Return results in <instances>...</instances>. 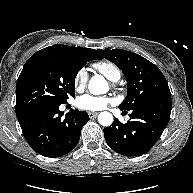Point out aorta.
Listing matches in <instances>:
<instances>
[{
  "instance_id": "aorta-1",
  "label": "aorta",
  "mask_w": 193,
  "mask_h": 193,
  "mask_svg": "<svg viewBox=\"0 0 193 193\" xmlns=\"http://www.w3.org/2000/svg\"><path fill=\"white\" fill-rule=\"evenodd\" d=\"M88 89L91 94L100 95L108 91V84L103 76L95 75L90 79ZM98 121L102 126H110L113 123V115L107 111L101 112Z\"/></svg>"
}]
</instances>
